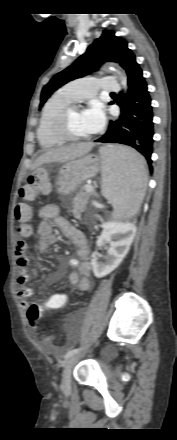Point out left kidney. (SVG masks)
<instances>
[{"label": "left kidney", "instance_id": "obj_1", "mask_svg": "<svg viewBox=\"0 0 177 440\" xmlns=\"http://www.w3.org/2000/svg\"><path fill=\"white\" fill-rule=\"evenodd\" d=\"M102 234L96 242L98 247L109 244L105 262H99V254H92L91 264L97 278L105 277L115 270L127 255L135 236V226L131 223L108 221L102 224Z\"/></svg>", "mask_w": 177, "mask_h": 440}]
</instances>
